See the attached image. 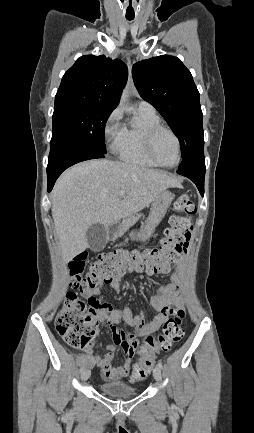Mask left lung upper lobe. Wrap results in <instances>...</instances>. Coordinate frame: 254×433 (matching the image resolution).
I'll return each mask as SVG.
<instances>
[{
    "label": "left lung upper lobe",
    "mask_w": 254,
    "mask_h": 433,
    "mask_svg": "<svg viewBox=\"0 0 254 433\" xmlns=\"http://www.w3.org/2000/svg\"><path fill=\"white\" fill-rule=\"evenodd\" d=\"M132 76L140 96L177 135L183 154L179 169L205 171L203 114L190 71L177 57L161 55L135 63Z\"/></svg>",
    "instance_id": "left-lung-upper-lobe-1"
}]
</instances>
